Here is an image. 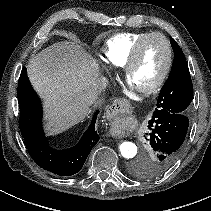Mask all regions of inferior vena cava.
<instances>
[{
    "instance_id": "obj_1",
    "label": "inferior vena cava",
    "mask_w": 211,
    "mask_h": 211,
    "mask_svg": "<svg viewBox=\"0 0 211 211\" xmlns=\"http://www.w3.org/2000/svg\"><path fill=\"white\" fill-rule=\"evenodd\" d=\"M106 87H107V80H102V83L98 85V91L96 92V95L98 97H101Z\"/></svg>"
}]
</instances>
